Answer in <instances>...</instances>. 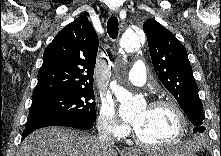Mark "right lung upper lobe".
<instances>
[{
  "instance_id": "right-lung-upper-lobe-1",
  "label": "right lung upper lobe",
  "mask_w": 221,
  "mask_h": 156,
  "mask_svg": "<svg viewBox=\"0 0 221 156\" xmlns=\"http://www.w3.org/2000/svg\"><path fill=\"white\" fill-rule=\"evenodd\" d=\"M98 36L86 16L65 26L43 54L33 99L45 95L93 89Z\"/></svg>"
}]
</instances>
